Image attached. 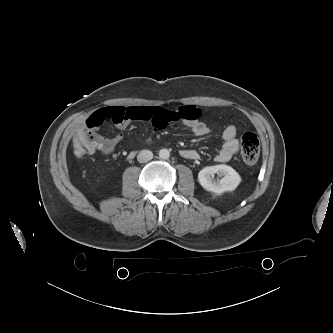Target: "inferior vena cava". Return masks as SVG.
<instances>
[{
    "instance_id": "602c4592",
    "label": "inferior vena cava",
    "mask_w": 333,
    "mask_h": 333,
    "mask_svg": "<svg viewBox=\"0 0 333 333\" xmlns=\"http://www.w3.org/2000/svg\"><path fill=\"white\" fill-rule=\"evenodd\" d=\"M153 158V153L150 150H142L137 156V160L140 163H145Z\"/></svg>"
}]
</instances>
